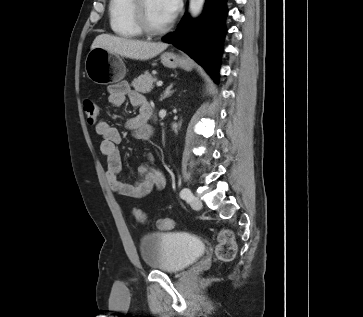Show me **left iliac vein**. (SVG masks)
<instances>
[{
  "label": "left iliac vein",
  "instance_id": "4c4485c4",
  "mask_svg": "<svg viewBox=\"0 0 363 317\" xmlns=\"http://www.w3.org/2000/svg\"><path fill=\"white\" fill-rule=\"evenodd\" d=\"M188 201L193 209L200 210L202 208V202L199 197L192 195Z\"/></svg>",
  "mask_w": 363,
  "mask_h": 317
}]
</instances>
